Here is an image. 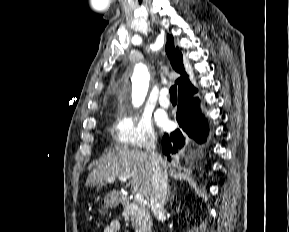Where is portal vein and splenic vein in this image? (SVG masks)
<instances>
[{"label": "portal vein and splenic vein", "mask_w": 289, "mask_h": 232, "mask_svg": "<svg viewBox=\"0 0 289 232\" xmlns=\"http://www.w3.org/2000/svg\"><path fill=\"white\" fill-rule=\"evenodd\" d=\"M120 181H122V182H126L127 181V177L126 176H119V177H117ZM115 179H116V177H108V179H107V181L109 182V183H112V182H114L115 181ZM143 200H144V197H143V195L141 194V193H136V195H135V201L137 202V203H142L143 202Z\"/></svg>", "instance_id": "18ae733b"}]
</instances>
